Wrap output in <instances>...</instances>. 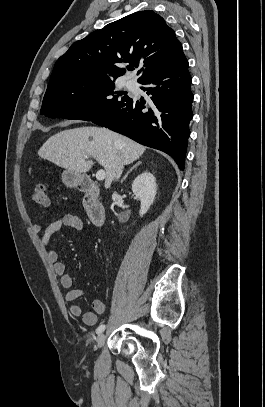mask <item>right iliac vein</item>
<instances>
[{
	"label": "right iliac vein",
	"mask_w": 265,
	"mask_h": 407,
	"mask_svg": "<svg viewBox=\"0 0 265 407\" xmlns=\"http://www.w3.org/2000/svg\"><path fill=\"white\" fill-rule=\"evenodd\" d=\"M106 336L103 333H100L97 337V348H101L105 342Z\"/></svg>",
	"instance_id": "right-iliac-vein-1"
}]
</instances>
